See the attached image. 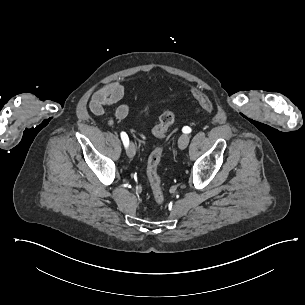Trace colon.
Segmentation results:
<instances>
[{
	"mask_svg": "<svg viewBox=\"0 0 305 305\" xmlns=\"http://www.w3.org/2000/svg\"><path fill=\"white\" fill-rule=\"evenodd\" d=\"M189 91L194 93L196 100L204 110L208 112L213 111L214 106L212 102L201 90H198V86L196 84H191L189 86ZM173 122L174 113L170 110L164 111L159 118V122L152 130L153 134L158 137L164 136L167 129L172 125ZM162 152L163 148L161 146H157L150 153L147 163V176L150 182L151 194L158 203L163 202L165 199L161 180L158 174V166L162 157Z\"/></svg>",
	"mask_w": 305,
	"mask_h": 305,
	"instance_id": "5ec220e1",
	"label": "colon"
}]
</instances>
